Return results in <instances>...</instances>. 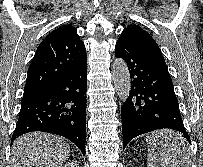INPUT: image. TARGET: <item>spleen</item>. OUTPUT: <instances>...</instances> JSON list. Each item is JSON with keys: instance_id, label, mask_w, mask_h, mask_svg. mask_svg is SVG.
Instances as JSON below:
<instances>
[{"instance_id": "obj_1", "label": "spleen", "mask_w": 203, "mask_h": 167, "mask_svg": "<svg viewBox=\"0 0 203 167\" xmlns=\"http://www.w3.org/2000/svg\"><path fill=\"white\" fill-rule=\"evenodd\" d=\"M147 167H189L191 164L188 143L181 134L171 133L157 142L147 138Z\"/></svg>"}]
</instances>
